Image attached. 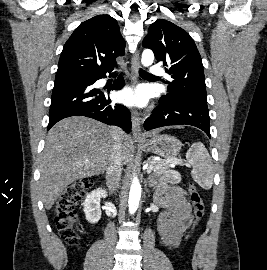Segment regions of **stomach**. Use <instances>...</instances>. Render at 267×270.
Masks as SVG:
<instances>
[{
	"label": "stomach",
	"mask_w": 267,
	"mask_h": 270,
	"mask_svg": "<svg viewBox=\"0 0 267 270\" xmlns=\"http://www.w3.org/2000/svg\"><path fill=\"white\" fill-rule=\"evenodd\" d=\"M143 147L146 151L152 152L163 158L171 159L176 157L182 147L180 140L168 134H153L145 140Z\"/></svg>",
	"instance_id": "0dacf381"
}]
</instances>
